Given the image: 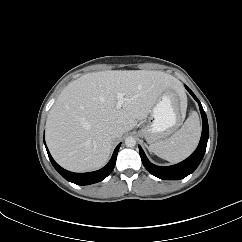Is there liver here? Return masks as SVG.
Wrapping results in <instances>:
<instances>
[{
  "label": "liver",
  "mask_w": 242,
  "mask_h": 242,
  "mask_svg": "<svg viewBox=\"0 0 242 242\" xmlns=\"http://www.w3.org/2000/svg\"><path fill=\"white\" fill-rule=\"evenodd\" d=\"M169 89L184 96L180 81L161 71L107 70L79 77L49 111L46 142L53 158L74 172L100 168L115 140L111 127L132 130ZM118 92L127 99L122 109L116 108Z\"/></svg>",
  "instance_id": "1"
}]
</instances>
